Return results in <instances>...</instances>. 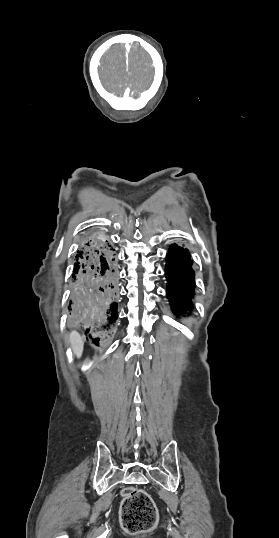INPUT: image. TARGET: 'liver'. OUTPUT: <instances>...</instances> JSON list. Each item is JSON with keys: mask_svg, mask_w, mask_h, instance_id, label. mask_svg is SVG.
I'll return each mask as SVG.
<instances>
[{"mask_svg": "<svg viewBox=\"0 0 279 538\" xmlns=\"http://www.w3.org/2000/svg\"><path fill=\"white\" fill-rule=\"evenodd\" d=\"M69 342L71 344L73 354H75L76 358H81L84 346L83 338H81L78 332L73 330L69 336Z\"/></svg>", "mask_w": 279, "mask_h": 538, "instance_id": "liver-1", "label": "liver"}]
</instances>
